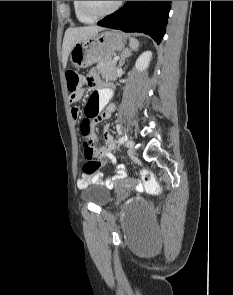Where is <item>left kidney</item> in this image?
<instances>
[{"mask_svg":"<svg viewBox=\"0 0 233 295\" xmlns=\"http://www.w3.org/2000/svg\"><path fill=\"white\" fill-rule=\"evenodd\" d=\"M151 58H152L151 51L143 52L138 57V59L136 60V63H135V68L137 69V71L142 72L146 68H148Z\"/></svg>","mask_w":233,"mask_h":295,"instance_id":"1","label":"left kidney"}]
</instances>
